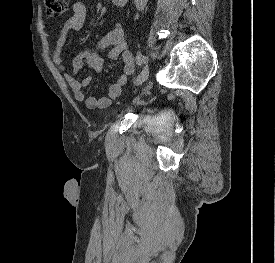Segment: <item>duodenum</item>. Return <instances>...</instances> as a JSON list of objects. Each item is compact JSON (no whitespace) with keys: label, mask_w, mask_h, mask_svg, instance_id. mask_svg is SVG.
Masks as SVG:
<instances>
[{"label":"duodenum","mask_w":275,"mask_h":263,"mask_svg":"<svg viewBox=\"0 0 275 263\" xmlns=\"http://www.w3.org/2000/svg\"><path fill=\"white\" fill-rule=\"evenodd\" d=\"M112 3L115 5V6H124L127 2V0H111Z\"/></svg>","instance_id":"duodenum-1"}]
</instances>
